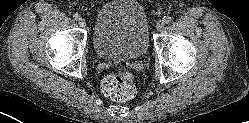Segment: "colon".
Wrapping results in <instances>:
<instances>
[{"instance_id": "colon-1", "label": "colon", "mask_w": 249, "mask_h": 123, "mask_svg": "<svg viewBox=\"0 0 249 123\" xmlns=\"http://www.w3.org/2000/svg\"><path fill=\"white\" fill-rule=\"evenodd\" d=\"M101 91L106 98L113 101L131 100L136 94L132 74L128 71H119L106 76L101 82Z\"/></svg>"}]
</instances>
